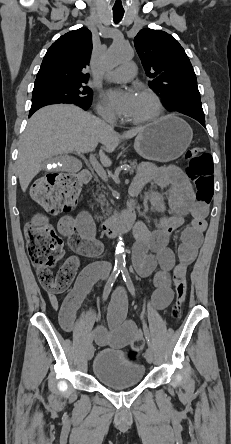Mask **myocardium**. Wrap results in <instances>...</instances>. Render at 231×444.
<instances>
[{"label":"myocardium","mask_w":231,"mask_h":444,"mask_svg":"<svg viewBox=\"0 0 231 444\" xmlns=\"http://www.w3.org/2000/svg\"><path fill=\"white\" fill-rule=\"evenodd\" d=\"M137 93L149 97L154 102L155 112L146 118L136 119V120L130 119L128 120V122L136 125H144L158 120L162 116L164 111L163 103L160 97L152 89L146 87L139 88L137 90Z\"/></svg>","instance_id":"f54148a6"}]
</instances>
